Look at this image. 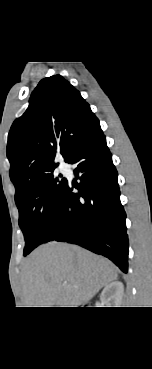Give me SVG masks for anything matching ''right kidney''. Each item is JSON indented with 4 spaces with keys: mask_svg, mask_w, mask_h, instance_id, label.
Segmentation results:
<instances>
[{
    "mask_svg": "<svg viewBox=\"0 0 152 369\" xmlns=\"http://www.w3.org/2000/svg\"><path fill=\"white\" fill-rule=\"evenodd\" d=\"M123 292V283L114 281L103 289L100 299L106 304V307H119L122 302Z\"/></svg>",
    "mask_w": 152,
    "mask_h": 369,
    "instance_id": "1",
    "label": "right kidney"
}]
</instances>
